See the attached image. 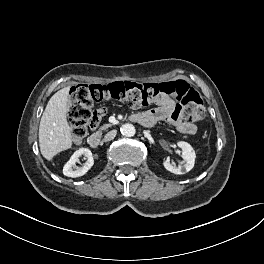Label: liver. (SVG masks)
I'll return each mask as SVG.
<instances>
[{"mask_svg": "<svg viewBox=\"0 0 264 264\" xmlns=\"http://www.w3.org/2000/svg\"><path fill=\"white\" fill-rule=\"evenodd\" d=\"M70 86L57 91L48 101L39 126L41 154L50 161L58 153L69 149L73 139L67 122Z\"/></svg>", "mask_w": 264, "mask_h": 264, "instance_id": "liver-1", "label": "liver"}]
</instances>
